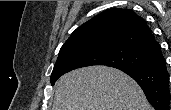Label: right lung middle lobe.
Listing matches in <instances>:
<instances>
[{
	"label": "right lung middle lobe",
	"mask_w": 171,
	"mask_h": 110,
	"mask_svg": "<svg viewBox=\"0 0 171 110\" xmlns=\"http://www.w3.org/2000/svg\"><path fill=\"white\" fill-rule=\"evenodd\" d=\"M156 60L152 55L125 46L90 43L66 48L59 52L51 74V84L63 74L85 66L106 65L117 69L142 68Z\"/></svg>",
	"instance_id": "right-lung-middle-lobe-1"
}]
</instances>
